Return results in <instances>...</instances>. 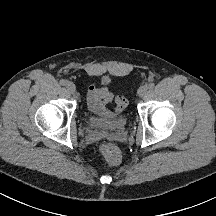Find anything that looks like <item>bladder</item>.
I'll return each mask as SVG.
<instances>
[{"label": "bladder", "mask_w": 216, "mask_h": 216, "mask_svg": "<svg viewBox=\"0 0 216 216\" xmlns=\"http://www.w3.org/2000/svg\"><path fill=\"white\" fill-rule=\"evenodd\" d=\"M88 122L92 124H96L97 120L93 117H88ZM127 122V118L125 114L118 115L112 123V127L115 129H122L125 127Z\"/></svg>", "instance_id": "31cf9c89"}]
</instances>
